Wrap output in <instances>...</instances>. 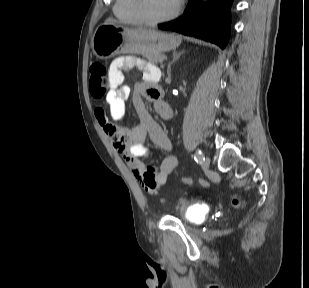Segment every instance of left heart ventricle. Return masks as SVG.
<instances>
[{"label": "left heart ventricle", "mask_w": 309, "mask_h": 288, "mask_svg": "<svg viewBox=\"0 0 309 288\" xmlns=\"http://www.w3.org/2000/svg\"><path fill=\"white\" fill-rule=\"evenodd\" d=\"M179 0H144V10L148 16L158 18L175 9Z\"/></svg>", "instance_id": "b2bd125f"}]
</instances>
